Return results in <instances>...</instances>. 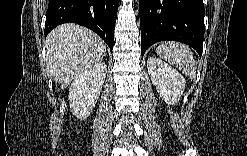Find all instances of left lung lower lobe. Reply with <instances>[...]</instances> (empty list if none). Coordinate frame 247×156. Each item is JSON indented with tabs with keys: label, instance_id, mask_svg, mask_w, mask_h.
Listing matches in <instances>:
<instances>
[{
	"label": "left lung lower lobe",
	"instance_id": "left-lung-lower-lobe-1",
	"mask_svg": "<svg viewBox=\"0 0 247 156\" xmlns=\"http://www.w3.org/2000/svg\"><path fill=\"white\" fill-rule=\"evenodd\" d=\"M141 55L159 41L188 44L202 55L203 0H139Z\"/></svg>",
	"mask_w": 247,
	"mask_h": 156
}]
</instances>
